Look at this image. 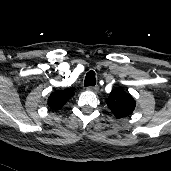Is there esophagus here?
Masks as SVG:
<instances>
[{
  "instance_id": "obj_1",
  "label": "esophagus",
  "mask_w": 171,
  "mask_h": 171,
  "mask_svg": "<svg viewBox=\"0 0 171 171\" xmlns=\"http://www.w3.org/2000/svg\"><path fill=\"white\" fill-rule=\"evenodd\" d=\"M98 89H99L98 85H95V86H88V87H87V90L93 91V92L98 91Z\"/></svg>"
}]
</instances>
